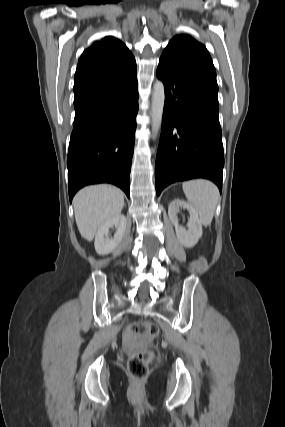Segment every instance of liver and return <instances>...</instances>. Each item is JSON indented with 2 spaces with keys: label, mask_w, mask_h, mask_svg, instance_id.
<instances>
[{
  "label": "liver",
  "mask_w": 285,
  "mask_h": 427,
  "mask_svg": "<svg viewBox=\"0 0 285 427\" xmlns=\"http://www.w3.org/2000/svg\"><path fill=\"white\" fill-rule=\"evenodd\" d=\"M73 205L81 236L92 241L102 225L121 213L124 196L118 188L109 185L88 186L75 195Z\"/></svg>",
  "instance_id": "liver-1"
}]
</instances>
